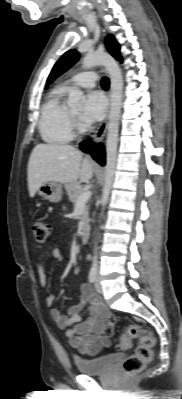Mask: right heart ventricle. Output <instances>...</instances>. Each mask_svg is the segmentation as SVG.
I'll return each mask as SVG.
<instances>
[{"mask_svg":"<svg viewBox=\"0 0 182 399\" xmlns=\"http://www.w3.org/2000/svg\"><path fill=\"white\" fill-rule=\"evenodd\" d=\"M66 89H55L41 109L39 131L44 141L63 144L72 140L73 128L70 110L64 103Z\"/></svg>","mask_w":182,"mask_h":399,"instance_id":"e07e8e85","label":"right heart ventricle"}]
</instances>
